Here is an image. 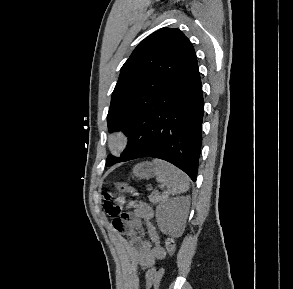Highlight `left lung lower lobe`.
Segmentation results:
<instances>
[{
  "label": "left lung lower lobe",
  "instance_id": "1",
  "mask_svg": "<svg viewBox=\"0 0 293 289\" xmlns=\"http://www.w3.org/2000/svg\"><path fill=\"white\" fill-rule=\"evenodd\" d=\"M203 112L202 84L196 62L135 121L127 134L129 141L123 161L142 157L163 159L195 182Z\"/></svg>",
  "mask_w": 293,
  "mask_h": 289
}]
</instances>
